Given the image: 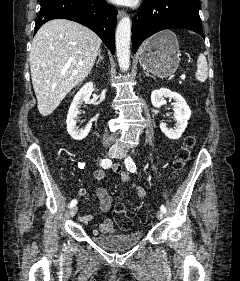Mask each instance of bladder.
Instances as JSON below:
<instances>
[{
    "label": "bladder",
    "mask_w": 240,
    "mask_h": 281,
    "mask_svg": "<svg viewBox=\"0 0 240 281\" xmlns=\"http://www.w3.org/2000/svg\"><path fill=\"white\" fill-rule=\"evenodd\" d=\"M143 238L140 231L122 234L96 235L92 239L101 248L108 251H124L136 246Z\"/></svg>",
    "instance_id": "obj_1"
}]
</instances>
